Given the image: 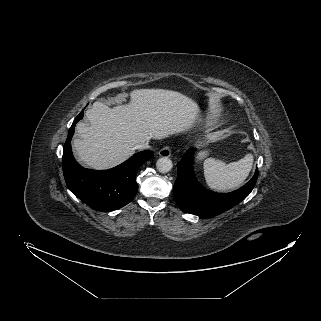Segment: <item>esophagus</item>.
<instances>
[{
    "label": "esophagus",
    "instance_id": "1",
    "mask_svg": "<svg viewBox=\"0 0 321 321\" xmlns=\"http://www.w3.org/2000/svg\"><path fill=\"white\" fill-rule=\"evenodd\" d=\"M159 155L162 157H170L171 156V150L168 146L163 147L160 151H159Z\"/></svg>",
    "mask_w": 321,
    "mask_h": 321
}]
</instances>
